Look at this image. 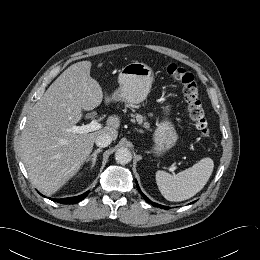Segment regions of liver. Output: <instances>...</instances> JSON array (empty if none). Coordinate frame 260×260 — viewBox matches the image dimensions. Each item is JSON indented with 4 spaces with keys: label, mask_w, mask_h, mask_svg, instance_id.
<instances>
[{
    "label": "liver",
    "mask_w": 260,
    "mask_h": 260,
    "mask_svg": "<svg viewBox=\"0 0 260 260\" xmlns=\"http://www.w3.org/2000/svg\"><path fill=\"white\" fill-rule=\"evenodd\" d=\"M92 63L68 67L34 105L21 135L24 164L31 183L43 194L58 191L86 161L95 139L106 133L115 140L120 118L111 115L106 126L91 133L72 131L82 118L103 100L100 85L90 76ZM108 104L111 98L105 96Z\"/></svg>",
    "instance_id": "liver-1"
}]
</instances>
